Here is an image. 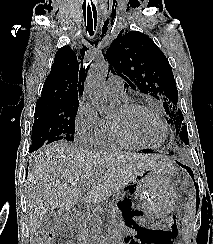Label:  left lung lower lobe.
Wrapping results in <instances>:
<instances>
[{
	"mask_svg": "<svg viewBox=\"0 0 213 244\" xmlns=\"http://www.w3.org/2000/svg\"><path fill=\"white\" fill-rule=\"evenodd\" d=\"M144 152L145 153H151V151H144ZM177 163L179 165L183 166V168H185L188 171V173L191 175V177L194 179L193 171L189 167H187L186 165L181 164L180 162H177ZM196 192H197V187H196ZM197 194H198V192H197ZM197 204L199 206V197L197 199ZM117 205L120 208V210L123 211V214H124L125 210L130 207L129 203L127 201V198H125L122 202H119Z\"/></svg>",
	"mask_w": 213,
	"mask_h": 244,
	"instance_id": "left-lung-lower-lobe-1",
	"label": "left lung lower lobe"
}]
</instances>
